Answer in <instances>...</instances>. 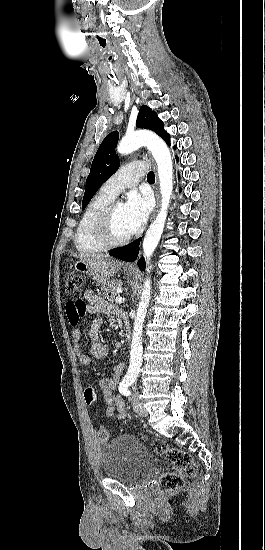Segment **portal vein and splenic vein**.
Listing matches in <instances>:
<instances>
[{"label": "portal vein and splenic vein", "mask_w": 265, "mask_h": 550, "mask_svg": "<svg viewBox=\"0 0 265 550\" xmlns=\"http://www.w3.org/2000/svg\"><path fill=\"white\" fill-rule=\"evenodd\" d=\"M115 302L118 303V304H121V303L124 302V299H123L122 297H120V296H117V297L115 298Z\"/></svg>", "instance_id": "obj_1"}]
</instances>
